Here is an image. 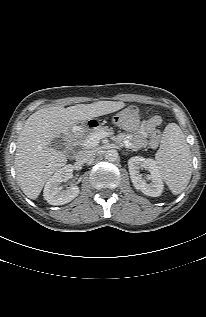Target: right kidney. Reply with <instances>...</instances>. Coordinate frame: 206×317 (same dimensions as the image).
<instances>
[{"label":"right kidney","mask_w":206,"mask_h":317,"mask_svg":"<svg viewBox=\"0 0 206 317\" xmlns=\"http://www.w3.org/2000/svg\"><path fill=\"white\" fill-rule=\"evenodd\" d=\"M73 166L65 165L55 172L44 187L43 196L51 205H64L78 196L80 190L76 185H70L62 190L60 183L72 178Z\"/></svg>","instance_id":"1"}]
</instances>
